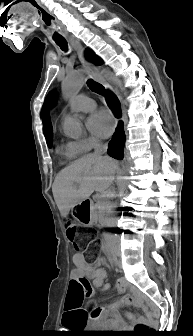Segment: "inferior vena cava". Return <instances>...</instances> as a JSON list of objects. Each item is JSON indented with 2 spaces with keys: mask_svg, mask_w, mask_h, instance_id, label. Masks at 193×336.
Listing matches in <instances>:
<instances>
[{
  "mask_svg": "<svg viewBox=\"0 0 193 336\" xmlns=\"http://www.w3.org/2000/svg\"><path fill=\"white\" fill-rule=\"evenodd\" d=\"M107 148H108L107 144H101L99 141L96 140L94 143V154L102 155L107 152ZM113 179L114 176L109 177L110 183L112 182Z\"/></svg>",
  "mask_w": 193,
  "mask_h": 336,
  "instance_id": "inferior-vena-cava-1",
  "label": "inferior vena cava"
}]
</instances>
